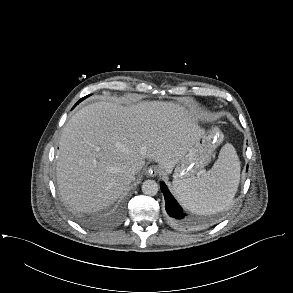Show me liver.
Wrapping results in <instances>:
<instances>
[{"label": "liver", "instance_id": "liver-1", "mask_svg": "<svg viewBox=\"0 0 293 293\" xmlns=\"http://www.w3.org/2000/svg\"><path fill=\"white\" fill-rule=\"evenodd\" d=\"M204 133L193 114L173 102L87 105L61 134L56 167L60 195L73 210H101L135 180L130 171L134 163L154 160L171 172Z\"/></svg>", "mask_w": 293, "mask_h": 293}]
</instances>
